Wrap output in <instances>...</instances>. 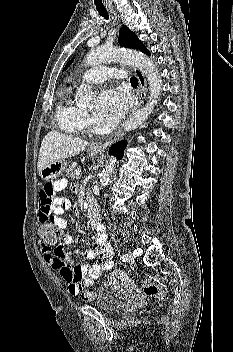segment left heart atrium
I'll use <instances>...</instances> for the list:
<instances>
[{
    "mask_svg": "<svg viewBox=\"0 0 233 352\" xmlns=\"http://www.w3.org/2000/svg\"><path fill=\"white\" fill-rule=\"evenodd\" d=\"M128 96L119 88H106L98 98L95 119L103 127L114 126L124 115L128 107Z\"/></svg>",
    "mask_w": 233,
    "mask_h": 352,
    "instance_id": "obj_1",
    "label": "left heart atrium"
}]
</instances>
